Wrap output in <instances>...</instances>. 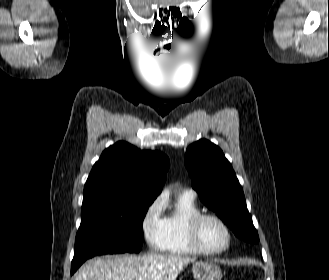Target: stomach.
Segmentation results:
<instances>
[{"label":"stomach","mask_w":329,"mask_h":280,"mask_svg":"<svg viewBox=\"0 0 329 280\" xmlns=\"http://www.w3.org/2000/svg\"><path fill=\"white\" fill-rule=\"evenodd\" d=\"M196 280H221L222 272L218 265L211 262L199 261L192 267Z\"/></svg>","instance_id":"1"}]
</instances>
